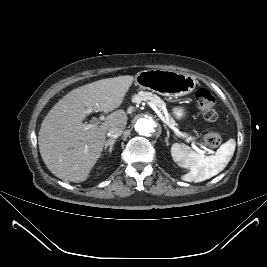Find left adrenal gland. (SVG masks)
<instances>
[{"instance_id": "a2214340", "label": "left adrenal gland", "mask_w": 267, "mask_h": 267, "mask_svg": "<svg viewBox=\"0 0 267 267\" xmlns=\"http://www.w3.org/2000/svg\"><path fill=\"white\" fill-rule=\"evenodd\" d=\"M165 129L167 130V128L165 127ZM168 138H169V131L167 130V137L165 138V142L168 145Z\"/></svg>"}]
</instances>
